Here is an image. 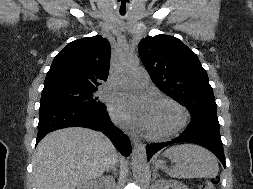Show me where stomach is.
Here are the masks:
<instances>
[{
	"label": "stomach",
	"mask_w": 253,
	"mask_h": 189,
	"mask_svg": "<svg viewBox=\"0 0 253 189\" xmlns=\"http://www.w3.org/2000/svg\"><path fill=\"white\" fill-rule=\"evenodd\" d=\"M164 164H165V162L163 160H158L156 162V167L163 168Z\"/></svg>",
	"instance_id": "0dacf381"
}]
</instances>
